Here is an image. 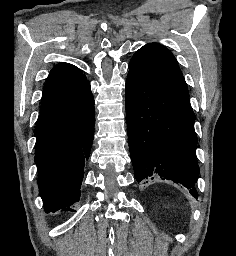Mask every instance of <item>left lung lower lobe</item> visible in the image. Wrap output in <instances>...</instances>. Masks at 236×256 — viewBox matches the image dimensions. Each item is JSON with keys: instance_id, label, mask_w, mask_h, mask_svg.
I'll return each mask as SVG.
<instances>
[{"instance_id": "obj_1", "label": "left lung lower lobe", "mask_w": 236, "mask_h": 256, "mask_svg": "<svg viewBox=\"0 0 236 256\" xmlns=\"http://www.w3.org/2000/svg\"><path fill=\"white\" fill-rule=\"evenodd\" d=\"M125 101L137 182L145 185L156 179L172 180L197 198V136L188 98L129 71Z\"/></svg>"}]
</instances>
